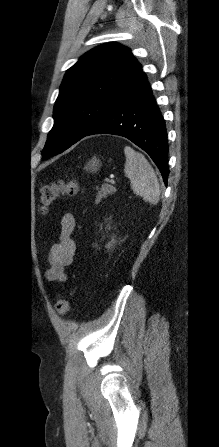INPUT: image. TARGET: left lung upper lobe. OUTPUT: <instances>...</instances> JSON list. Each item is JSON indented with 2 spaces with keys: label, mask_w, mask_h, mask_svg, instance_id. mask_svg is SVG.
<instances>
[{
  "label": "left lung upper lobe",
  "mask_w": 219,
  "mask_h": 447,
  "mask_svg": "<svg viewBox=\"0 0 219 447\" xmlns=\"http://www.w3.org/2000/svg\"><path fill=\"white\" fill-rule=\"evenodd\" d=\"M130 50L101 45L67 70L54 106V126L42 152L47 159L82 139L117 103L141 73Z\"/></svg>",
  "instance_id": "left-lung-upper-lobe-1"
}]
</instances>
